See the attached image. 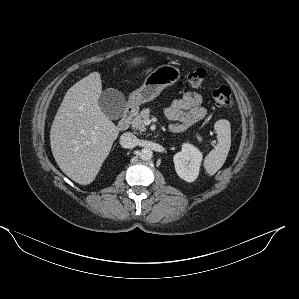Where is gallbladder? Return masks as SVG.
Listing matches in <instances>:
<instances>
[{"label":"gallbladder","instance_id":"gallbladder-1","mask_svg":"<svg viewBox=\"0 0 299 299\" xmlns=\"http://www.w3.org/2000/svg\"><path fill=\"white\" fill-rule=\"evenodd\" d=\"M98 104L109 119L118 120L125 112L126 99L120 91L108 88L100 94Z\"/></svg>","mask_w":299,"mask_h":299}]
</instances>
